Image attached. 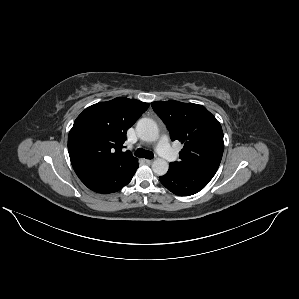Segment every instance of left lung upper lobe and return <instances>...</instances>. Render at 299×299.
I'll return each mask as SVG.
<instances>
[{"label":"left lung upper lobe","mask_w":299,"mask_h":299,"mask_svg":"<svg viewBox=\"0 0 299 299\" xmlns=\"http://www.w3.org/2000/svg\"><path fill=\"white\" fill-rule=\"evenodd\" d=\"M153 110L167 126L172 141L184 144L179 161L170 163L178 169L217 170L224 150L223 131L216 118L202 105L178 101H156Z\"/></svg>","instance_id":"1"}]
</instances>
